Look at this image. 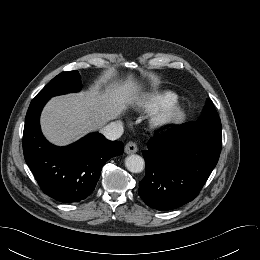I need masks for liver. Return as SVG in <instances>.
I'll return each instance as SVG.
<instances>
[{
    "label": "liver",
    "mask_w": 260,
    "mask_h": 260,
    "mask_svg": "<svg viewBox=\"0 0 260 260\" xmlns=\"http://www.w3.org/2000/svg\"><path fill=\"white\" fill-rule=\"evenodd\" d=\"M141 89L131 74L124 81L104 79L87 91L54 97L43 109L42 132L53 144L68 145L139 104Z\"/></svg>",
    "instance_id": "1"
}]
</instances>
